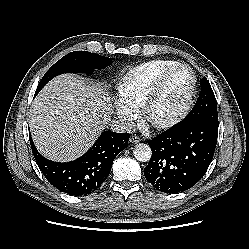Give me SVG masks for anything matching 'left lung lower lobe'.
Listing matches in <instances>:
<instances>
[{
	"mask_svg": "<svg viewBox=\"0 0 249 249\" xmlns=\"http://www.w3.org/2000/svg\"><path fill=\"white\" fill-rule=\"evenodd\" d=\"M218 123L181 121L147 140L152 150L146 180L164 193H180L206 173L214 155Z\"/></svg>",
	"mask_w": 249,
	"mask_h": 249,
	"instance_id": "1",
	"label": "left lung lower lobe"
}]
</instances>
